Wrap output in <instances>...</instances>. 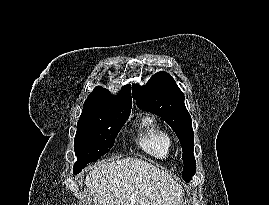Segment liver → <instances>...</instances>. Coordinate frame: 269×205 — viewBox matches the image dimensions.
I'll use <instances>...</instances> for the list:
<instances>
[{"instance_id":"6515ba94","label":"liver","mask_w":269,"mask_h":205,"mask_svg":"<svg viewBox=\"0 0 269 205\" xmlns=\"http://www.w3.org/2000/svg\"><path fill=\"white\" fill-rule=\"evenodd\" d=\"M85 184L95 205H180L182 187L166 172L137 158L103 162Z\"/></svg>"}]
</instances>
